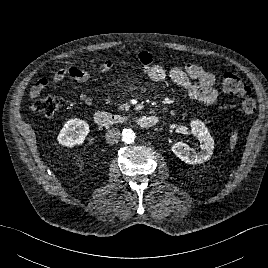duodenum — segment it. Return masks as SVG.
Here are the masks:
<instances>
[{
    "instance_id": "obj_1",
    "label": "duodenum",
    "mask_w": 268,
    "mask_h": 268,
    "mask_svg": "<svg viewBox=\"0 0 268 268\" xmlns=\"http://www.w3.org/2000/svg\"><path fill=\"white\" fill-rule=\"evenodd\" d=\"M126 119L120 115H114L107 112H98L95 116V123L99 126H114L119 123L125 122ZM156 116L147 114L135 120V123L142 128H149L157 123Z\"/></svg>"
}]
</instances>
